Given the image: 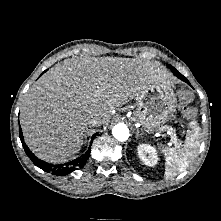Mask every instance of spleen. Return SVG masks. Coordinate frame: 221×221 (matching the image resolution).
<instances>
[{
  "mask_svg": "<svg viewBox=\"0 0 221 221\" xmlns=\"http://www.w3.org/2000/svg\"><path fill=\"white\" fill-rule=\"evenodd\" d=\"M193 130L186 136L183 148H162L161 152L165 157V177L169 178L182 173L196 157L200 146V128L196 121H192Z\"/></svg>",
  "mask_w": 221,
  "mask_h": 221,
  "instance_id": "1",
  "label": "spleen"
}]
</instances>
